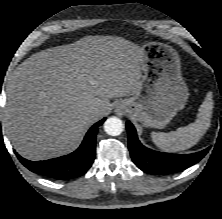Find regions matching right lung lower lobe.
<instances>
[{
  "mask_svg": "<svg viewBox=\"0 0 222 219\" xmlns=\"http://www.w3.org/2000/svg\"><path fill=\"white\" fill-rule=\"evenodd\" d=\"M105 120L106 118L94 124L80 147L69 155L44 161H29L17 153L16 155L26 168L36 174L59 180L79 177L87 172L94 161L97 130Z\"/></svg>",
  "mask_w": 222,
  "mask_h": 219,
  "instance_id": "obj_1",
  "label": "right lung lower lobe"
}]
</instances>
